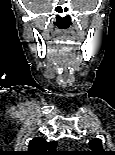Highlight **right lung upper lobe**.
<instances>
[{"instance_id": "obj_1", "label": "right lung upper lobe", "mask_w": 115, "mask_h": 155, "mask_svg": "<svg viewBox=\"0 0 115 155\" xmlns=\"http://www.w3.org/2000/svg\"><path fill=\"white\" fill-rule=\"evenodd\" d=\"M57 143L55 141L47 142L42 137H35L29 142L26 155H59L56 151Z\"/></svg>"}]
</instances>
